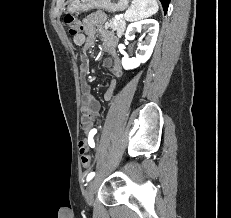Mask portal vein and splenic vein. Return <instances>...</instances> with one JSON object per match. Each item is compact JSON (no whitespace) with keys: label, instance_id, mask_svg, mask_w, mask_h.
Returning <instances> with one entry per match:
<instances>
[{"label":"portal vein and splenic vein","instance_id":"18ae733b","mask_svg":"<svg viewBox=\"0 0 231 218\" xmlns=\"http://www.w3.org/2000/svg\"><path fill=\"white\" fill-rule=\"evenodd\" d=\"M121 17H122V16H118V15L115 16V18H116L117 20L120 19Z\"/></svg>","mask_w":231,"mask_h":218}]
</instances>
